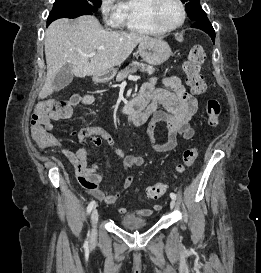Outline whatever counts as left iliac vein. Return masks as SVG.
<instances>
[{
	"label": "left iliac vein",
	"mask_w": 261,
	"mask_h": 273,
	"mask_svg": "<svg viewBox=\"0 0 261 273\" xmlns=\"http://www.w3.org/2000/svg\"><path fill=\"white\" fill-rule=\"evenodd\" d=\"M175 206H176L175 200L172 199V200L170 201V207H171V209H174Z\"/></svg>",
	"instance_id": "1"
}]
</instances>
